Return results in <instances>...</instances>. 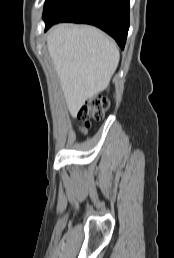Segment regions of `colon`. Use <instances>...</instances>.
<instances>
[{
    "instance_id": "colon-1",
    "label": "colon",
    "mask_w": 174,
    "mask_h": 258,
    "mask_svg": "<svg viewBox=\"0 0 174 258\" xmlns=\"http://www.w3.org/2000/svg\"><path fill=\"white\" fill-rule=\"evenodd\" d=\"M108 107L109 102L105 98L96 96L87 100L77 112V118L83 123V131L90 126L92 120H101Z\"/></svg>"
}]
</instances>
